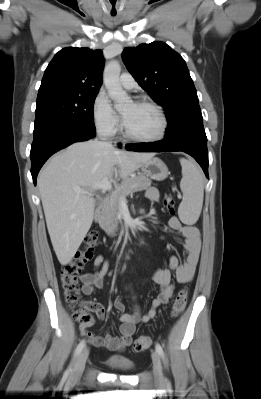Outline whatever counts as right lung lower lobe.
I'll use <instances>...</instances> for the list:
<instances>
[{"instance_id":"98d812e1","label":"right lung lower lobe","mask_w":261,"mask_h":399,"mask_svg":"<svg viewBox=\"0 0 261 399\" xmlns=\"http://www.w3.org/2000/svg\"><path fill=\"white\" fill-rule=\"evenodd\" d=\"M95 134V131L86 130L66 120H51L35 125L30 152L34 184L39 170L51 155L74 142L87 141Z\"/></svg>"}]
</instances>
